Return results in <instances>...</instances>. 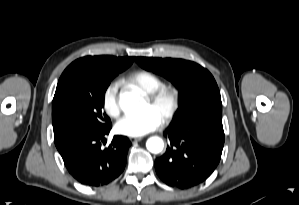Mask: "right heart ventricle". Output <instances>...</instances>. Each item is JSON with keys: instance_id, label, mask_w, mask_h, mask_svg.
Masks as SVG:
<instances>
[{"instance_id": "e07e8e85", "label": "right heart ventricle", "mask_w": 299, "mask_h": 205, "mask_svg": "<svg viewBox=\"0 0 299 205\" xmlns=\"http://www.w3.org/2000/svg\"><path fill=\"white\" fill-rule=\"evenodd\" d=\"M126 82L144 94L153 92L163 84L160 77L146 70L133 72L127 77Z\"/></svg>"}]
</instances>
